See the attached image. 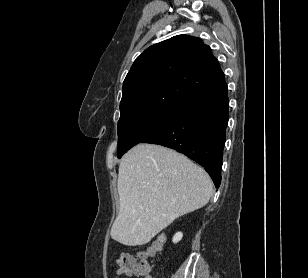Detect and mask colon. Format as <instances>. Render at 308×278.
<instances>
[{"label": "colon", "mask_w": 308, "mask_h": 278, "mask_svg": "<svg viewBox=\"0 0 308 278\" xmlns=\"http://www.w3.org/2000/svg\"><path fill=\"white\" fill-rule=\"evenodd\" d=\"M164 240L165 236L163 234L158 235L146 250L138 253L137 257L127 253H121L116 260L118 270L121 271L124 276H140L145 278L148 274L149 266L147 259L155 255L161 249Z\"/></svg>", "instance_id": "colon-1"}]
</instances>
